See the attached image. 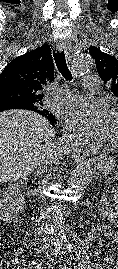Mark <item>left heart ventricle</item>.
Here are the masks:
<instances>
[{"mask_svg":"<svg viewBox=\"0 0 118 269\" xmlns=\"http://www.w3.org/2000/svg\"><path fill=\"white\" fill-rule=\"evenodd\" d=\"M102 138L106 142L118 143V112L110 113L106 132Z\"/></svg>","mask_w":118,"mask_h":269,"instance_id":"left-heart-ventricle-1","label":"left heart ventricle"}]
</instances>
